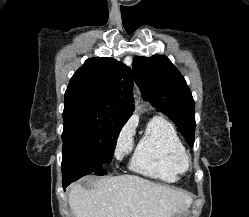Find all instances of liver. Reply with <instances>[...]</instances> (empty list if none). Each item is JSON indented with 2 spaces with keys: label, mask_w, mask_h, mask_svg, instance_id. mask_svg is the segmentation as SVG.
I'll list each match as a JSON object with an SVG mask.
<instances>
[{
  "label": "liver",
  "mask_w": 249,
  "mask_h": 217,
  "mask_svg": "<svg viewBox=\"0 0 249 217\" xmlns=\"http://www.w3.org/2000/svg\"><path fill=\"white\" fill-rule=\"evenodd\" d=\"M90 182L70 190L69 206L75 217H172L191 200L181 191L135 175Z\"/></svg>",
  "instance_id": "6515ba94"
}]
</instances>
